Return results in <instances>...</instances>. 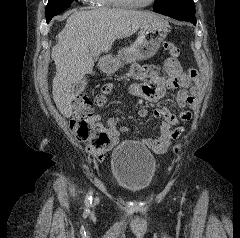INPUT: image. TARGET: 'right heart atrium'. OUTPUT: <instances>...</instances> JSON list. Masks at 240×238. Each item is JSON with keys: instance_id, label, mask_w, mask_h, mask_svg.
I'll return each instance as SVG.
<instances>
[{"instance_id": "obj_1", "label": "right heart atrium", "mask_w": 240, "mask_h": 238, "mask_svg": "<svg viewBox=\"0 0 240 238\" xmlns=\"http://www.w3.org/2000/svg\"><path fill=\"white\" fill-rule=\"evenodd\" d=\"M81 1L87 4H96L99 0H81Z\"/></svg>"}]
</instances>
